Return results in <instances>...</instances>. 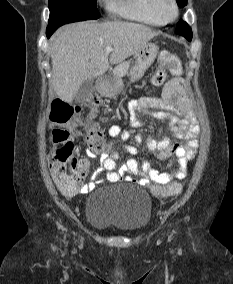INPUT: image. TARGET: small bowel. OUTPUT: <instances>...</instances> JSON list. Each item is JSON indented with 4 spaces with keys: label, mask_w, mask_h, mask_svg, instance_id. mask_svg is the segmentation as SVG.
Here are the masks:
<instances>
[{
    "label": "small bowel",
    "mask_w": 233,
    "mask_h": 284,
    "mask_svg": "<svg viewBox=\"0 0 233 284\" xmlns=\"http://www.w3.org/2000/svg\"><path fill=\"white\" fill-rule=\"evenodd\" d=\"M130 123L133 127H139L140 121L138 115H144L156 119H167L171 124L172 134L184 140V144L171 143L169 137H163L160 140L148 139V147L154 151L158 158L166 159L172 155L176 157V165L171 173L159 172L155 170L149 162L142 161L140 164L135 158H130L123 164H118L119 155L114 151L103 152L100 156L102 169L107 171V180L112 183L121 181L123 178L131 181L132 178L127 175L138 176V183L142 186L152 188L153 184L167 185L173 179H183L186 175V166L189 161L194 159L199 146L198 133L199 126L192 110V101L186 82L181 78H174L166 82L161 98H141L133 100L128 105ZM76 136L79 135L75 131ZM110 137H118L122 141L130 138V132L118 125H112L108 128ZM137 144L142 143L140 135L135 136ZM124 149L132 156L137 154V148L132 145H124ZM89 157H94L95 153L89 149ZM75 160V158L73 159ZM87 168L89 162L87 159L79 160ZM51 175L53 178L51 166ZM97 180L85 184L80 193H88L96 186Z\"/></svg>",
    "instance_id": "1"
}]
</instances>
